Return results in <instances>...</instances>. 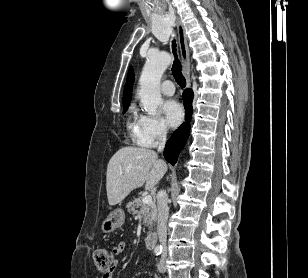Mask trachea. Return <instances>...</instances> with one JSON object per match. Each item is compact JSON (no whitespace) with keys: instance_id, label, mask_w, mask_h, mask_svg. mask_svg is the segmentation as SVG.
<instances>
[{"instance_id":"1","label":"trachea","mask_w":308,"mask_h":278,"mask_svg":"<svg viewBox=\"0 0 308 278\" xmlns=\"http://www.w3.org/2000/svg\"><path fill=\"white\" fill-rule=\"evenodd\" d=\"M172 49H173V54L175 56V60L172 65L173 76L180 87H185L186 80H185V77L182 75V66L176 54L175 40L172 41Z\"/></svg>"}]
</instances>
